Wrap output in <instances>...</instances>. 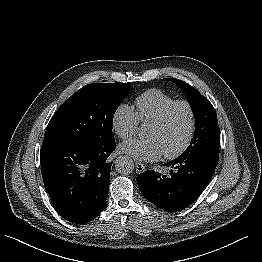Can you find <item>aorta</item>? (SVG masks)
<instances>
[{
    "label": "aorta",
    "instance_id": "1",
    "mask_svg": "<svg viewBox=\"0 0 262 262\" xmlns=\"http://www.w3.org/2000/svg\"><path fill=\"white\" fill-rule=\"evenodd\" d=\"M116 170L121 174H129L134 169L133 160L128 156H120L115 162Z\"/></svg>",
    "mask_w": 262,
    "mask_h": 262
}]
</instances>
